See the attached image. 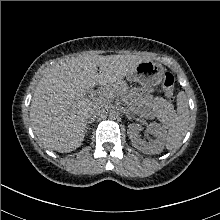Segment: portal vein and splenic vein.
<instances>
[{
    "instance_id": "obj_1",
    "label": "portal vein and splenic vein",
    "mask_w": 220,
    "mask_h": 220,
    "mask_svg": "<svg viewBox=\"0 0 220 220\" xmlns=\"http://www.w3.org/2000/svg\"><path fill=\"white\" fill-rule=\"evenodd\" d=\"M93 96H94L93 94H90V95H89L90 98L93 97Z\"/></svg>"
}]
</instances>
